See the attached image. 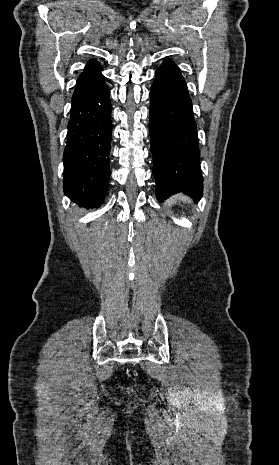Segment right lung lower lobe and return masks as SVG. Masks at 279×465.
I'll return each mask as SVG.
<instances>
[{
	"instance_id": "right-lung-lower-lobe-1",
	"label": "right lung lower lobe",
	"mask_w": 279,
	"mask_h": 465,
	"mask_svg": "<svg viewBox=\"0 0 279 465\" xmlns=\"http://www.w3.org/2000/svg\"><path fill=\"white\" fill-rule=\"evenodd\" d=\"M104 77L72 98L64 150V193L79 205L99 207L110 179L111 108Z\"/></svg>"
}]
</instances>
